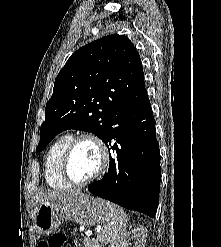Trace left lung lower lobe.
Instances as JSON below:
<instances>
[{
	"label": "left lung lower lobe",
	"mask_w": 221,
	"mask_h": 247,
	"mask_svg": "<svg viewBox=\"0 0 221 247\" xmlns=\"http://www.w3.org/2000/svg\"><path fill=\"white\" fill-rule=\"evenodd\" d=\"M115 139L111 146L108 143ZM104 143L113 150L109 169L88 190L129 210L154 217L161 178L159 144L149 100L118 112L110 121Z\"/></svg>",
	"instance_id": "0a47b994"
}]
</instances>
